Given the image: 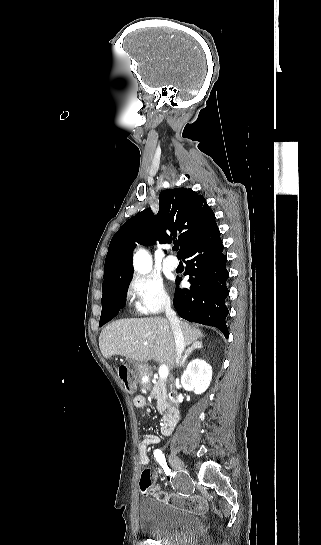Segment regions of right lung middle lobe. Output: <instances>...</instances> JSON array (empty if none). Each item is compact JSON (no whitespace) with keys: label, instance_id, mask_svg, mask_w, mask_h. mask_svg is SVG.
I'll return each instance as SVG.
<instances>
[{"label":"right lung middle lobe","instance_id":"dd1d6c3e","mask_svg":"<svg viewBox=\"0 0 321 545\" xmlns=\"http://www.w3.org/2000/svg\"><path fill=\"white\" fill-rule=\"evenodd\" d=\"M131 279H132V274L127 276L118 286H116V287H114L112 289H109V290H102L103 295H102V313H101V317H100V326L104 325V323H105L104 315H103V308H104V305H105L106 301L108 300V298L110 296L127 294V290H128L129 283H130Z\"/></svg>","mask_w":321,"mask_h":545}]
</instances>
